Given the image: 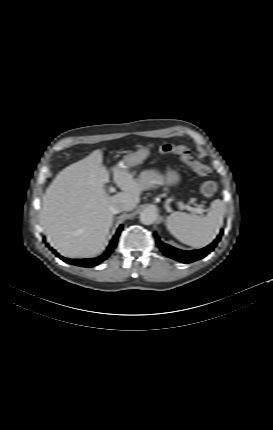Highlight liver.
<instances>
[{
    "instance_id": "obj_1",
    "label": "liver",
    "mask_w": 273,
    "mask_h": 430,
    "mask_svg": "<svg viewBox=\"0 0 273 430\" xmlns=\"http://www.w3.org/2000/svg\"><path fill=\"white\" fill-rule=\"evenodd\" d=\"M113 179L122 192L106 193L109 173L97 149L63 169L48 187L40 213L47 241L61 255L88 258L101 252L113 223L110 206L123 203L132 211L140 202L142 187L133 174L113 168Z\"/></svg>"
}]
</instances>
